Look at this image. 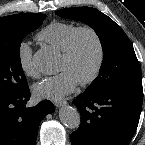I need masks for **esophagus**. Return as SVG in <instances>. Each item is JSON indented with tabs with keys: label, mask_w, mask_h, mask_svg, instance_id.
<instances>
[{
	"label": "esophagus",
	"mask_w": 145,
	"mask_h": 145,
	"mask_svg": "<svg viewBox=\"0 0 145 145\" xmlns=\"http://www.w3.org/2000/svg\"><path fill=\"white\" fill-rule=\"evenodd\" d=\"M53 103H54V105L56 106V107H61V106H64V105H66V101L65 100H55V101H53Z\"/></svg>",
	"instance_id": "34e87169"
}]
</instances>
